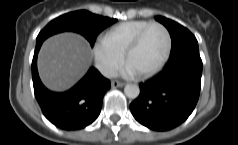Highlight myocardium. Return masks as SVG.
<instances>
[{
    "label": "myocardium",
    "mask_w": 238,
    "mask_h": 145,
    "mask_svg": "<svg viewBox=\"0 0 238 145\" xmlns=\"http://www.w3.org/2000/svg\"><path fill=\"white\" fill-rule=\"evenodd\" d=\"M153 27H159L164 31V33L166 35V49H165V52H164L162 58L160 59V61L152 69H150L144 73H140L141 77H150V76L154 75L155 73H157L167 62V60L170 56L171 50H172V36H171L169 29L164 24H162L160 22H152L149 25H147L146 27H144L136 35V37L131 41V43L128 45V47L124 53L125 60L127 61L131 52H133L140 45V43L142 42L146 33Z\"/></svg>",
    "instance_id": "f54148a6"
}]
</instances>
